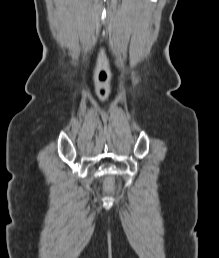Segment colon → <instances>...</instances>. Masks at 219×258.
Here are the masks:
<instances>
[{"instance_id":"colon-1","label":"colon","mask_w":219,"mask_h":258,"mask_svg":"<svg viewBox=\"0 0 219 258\" xmlns=\"http://www.w3.org/2000/svg\"><path fill=\"white\" fill-rule=\"evenodd\" d=\"M112 185H113L112 177H108V179H107V189L110 193L113 191Z\"/></svg>"}]
</instances>
